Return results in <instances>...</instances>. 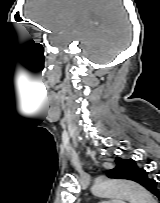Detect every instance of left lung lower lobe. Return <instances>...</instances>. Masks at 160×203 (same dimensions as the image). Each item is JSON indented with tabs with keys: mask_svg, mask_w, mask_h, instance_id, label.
I'll return each mask as SVG.
<instances>
[{
	"mask_svg": "<svg viewBox=\"0 0 160 203\" xmlns=\"http://www.w3.org/2000/svg\"><path fill=\"white\" fill-rule=\"evenodd\" d=\"M158 200H160V183L158 180L152 179L147 187Z\"/></svg>",
	"mask_w": 160,
	"mask_h": 203,
	"instance_id": "obj_1",
	"label": "left lung lower lobe"
}]
</instances>
